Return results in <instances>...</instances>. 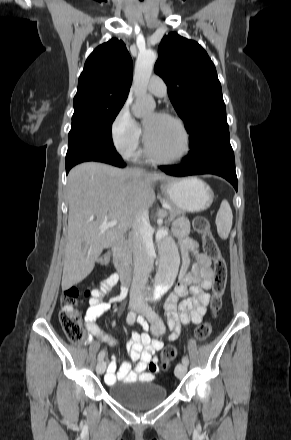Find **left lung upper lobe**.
Wrapping results in <instances>:
<instances>
[{
  "label": "left lung upper lobe",
  "mask_w": 291,
  "mask_h": 440,
  "mask_svg": "<svg viewBox=\"0 0 291 440\" xmlns=\"http://www.w3.org/2000/svg\"><path fill=\"white\" fill-rule=\"evenodd\" d=\"M154 71L166 82L169 98L185 121L192 150L229 131L221 84L201 45L177 33L168 34L159 45Z\"/></svg>",
  "instance_id": "left-lung-upper-lobe-1"
}]
</instances>
